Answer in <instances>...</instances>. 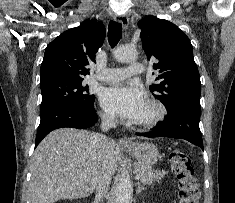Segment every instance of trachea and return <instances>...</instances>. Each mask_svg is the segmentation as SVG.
<instances>
[{
    "label": "trachea",
    "instance_id": "3493384b",
    "mask_svg": "<svg viewBox=\"0 0 235 203\" xmlns=\"http://www.w3.org/2000/svg\"><path fill=\"white\" fill-rule=\"evenodd\" d=\"M122 36V24L110 21L108 26V41L111 47H115Z\"/></svg>",
    "mask_w": 235,
    "mask_h": 203
}]
</instances>
